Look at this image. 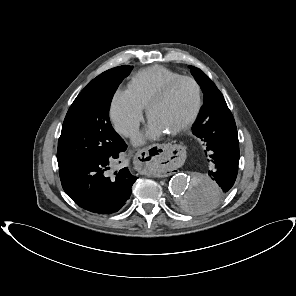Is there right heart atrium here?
<instances>
[{"instance_id": "1", "label": "right heart atrium", "mask_w": 296, "mask_h": 296, "mask_svg": "<svg viewBox=\"0 0 296 296\" xmlns=\"http://www.w3.org/2000/svg\"><path fill=\"white\" fill-rule=\"evenodd\" d=\"M109 113L116 130L126 137L135 135L143 120V107L127 90L114 93Z\"/></svg>"}]
</instances>
